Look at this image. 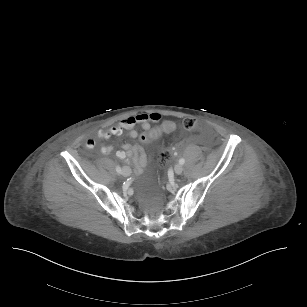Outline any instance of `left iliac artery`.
<instances>
[{"label":"left iliac artery","mask_w":307,"mask_h":307,"mask_svg":"<svg viewBox=\"0 0 307 307\" xmlns=\"http://www.w3.org/2000/svg\"><path fill=\"white\" fill-rule=\"evenodd\" d=\"M179 163H180L181 165H183V164L185 163V159H184V158H181V159L179 160Z\"/></svg>","instance_id":"left-iliac-artery-1"}]
</instances>
